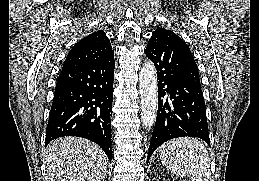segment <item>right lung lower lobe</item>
<instances>
[{
  "mask_svg": "<svg viewBox=\"0 0 259 181\" xmlns=\"http://www.w3.org/2000/svg\"><path fill=\"white\" fill-rule=\"evenodd\" d=\"M114 53L95 62L62 70L46 129V145L62 136L98 144L111 161Z\"/></svg>",
  "mask_w": 259,
  "mask_h": 181,
  "instance_id": "right-lung-lower-lobe-1",
  "label": "right lung lower lobe"
}]
</instances>
